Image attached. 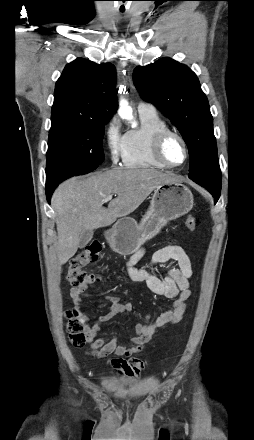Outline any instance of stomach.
Instances as JSON below:
<instances>
[{
  "label": "stomach",
  "instance_id": "obj_1",
  "mask_svg": "<svg viewBox=\"0 0 254 440\" xmlns=\"http://www.w3.org/2000/svg\"><path fill=\"white\" fill-rule=\"evenodd\" d=\"M193 201L192 192L182 183H163L154 190L150 207L139 224L133 218L122 217L105 232V237L113 251L131 255L169 221L187 214Z\"/></svg>",
  "mask_w": 254,
  "mask_h": 440
}]
</instances>
